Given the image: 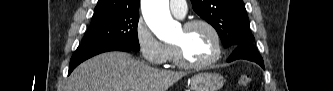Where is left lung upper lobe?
<instances>
[{
	"instance_id": "1",
	"label": "left lung upper lobe",
	"mask_w": 333,
	"mask_h": 91,
	"mask_svg": "<svg viewBox=\"0 0 333 91\" xmlns=\"http://www.w3.org/2000/svg\"><path fill=\"white\" fill-rule=\"evenodd\" d=\"M194 11L218 32L225 47L254 42L242 0H191Z\"/></svg>"
}]
</instances>
